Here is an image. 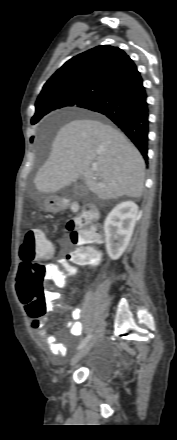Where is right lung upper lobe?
Here are the masks:
<instances>
[{
	"label": "right lung upper lobe",
	"mask_w": 177,
	"mask_h": 440,
	"mask_svg": "<svg viewBox=\"0 0 177 440\" xmlns=\"http://www.w3.org/2000/svg\"><path fill=\"white\" fill-rule=\"evenodd\" d=\"M140 73L120 48L101 45L68 60L45 83L36 105L63 92L106 95Z\"/></svg>",
	"instance_id": "obj_1"
}]
</instances>
